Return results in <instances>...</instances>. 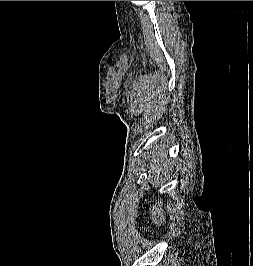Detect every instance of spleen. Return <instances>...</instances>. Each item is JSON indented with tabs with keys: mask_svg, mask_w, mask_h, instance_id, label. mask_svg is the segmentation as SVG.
<instances>
[{
	"mask_svg": "<svg viewBox=\"0 0 253 266\" xmlns=\"http://www.w3.org/2000/svg\"><path fill=\"white\" fill-rule=\"evenodd\" d=\"M131 215L139 216L142 213L141 208L133 207L130 210ZM144 233L146 235H166L168 233V228L166 226H146L144 228Z\"/></svg>",
	"mask_w": 253,
	"mask_h": 266,
	"instance_id": "spleen-1",
	"label": "spleen"
}]
</instances>
